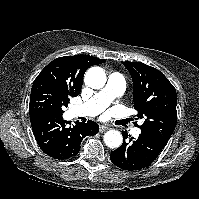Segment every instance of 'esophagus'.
<instances>
[{
	"instance_id": "esophagus-1",
	"label": "esophagus",
	"mask_w": 199,
	"mask_h": 199,
	"mask_svg": "<svg viewBox=\"0 0 199 199\" xmlns=\"http://www.w3.org/2000/svg\"><path fill=\"white\" fill-rule=\"evenodd\" d=\"M108 129H109L108 126H106V125H101V126L99 127V132L103 133V132L107 131Z\"/></svg>"
}]
</instances>
